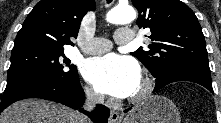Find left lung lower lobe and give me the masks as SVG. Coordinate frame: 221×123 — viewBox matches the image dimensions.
<instances>
[{
    "mask_svg": "<svg viewBox=\"0 0 221 123\" xmlns=\"http://www.w3.org/2000/svg\"><path fill=\"white\" fill-rule=\"evenodd\" d=\"M176 81L198 83L213 92L210 69L198 66H181L164 71L157 79L154 92ZM129 109L125 110L128 111Z\"/></svg>",
    "mask_w": 221,
    "mask_h": 123,
    "instance_id": "1",
    "label": "left lung lower lobe"
}]
</instances>
